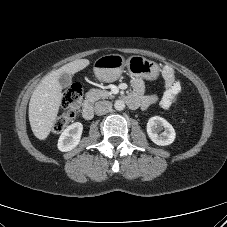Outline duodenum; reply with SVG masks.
I'll use <instances>...</instances> for the list:
<instances>
[{
  "label": "duodenum",
  "mask_w": 227,
  "mask_h": 227,
  "mask_svg": "<svg viewBox=\"0 0 227 227\" xmlns=\"http://www.w3.org/2000/svg\"><path fill=\"white\" fill-rule=\"evenodd\" d=\"M126 102L128 103V105L130 107H132V108L136 107V103L131 97H127ZM82 116L86 120H90L94 116L93 106L88 101L84 103V106H83V109H82Z\"/></svg>",
  "instance_id": "1"
}]
</instances>
